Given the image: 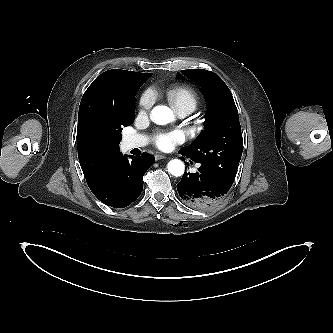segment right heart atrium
Instances as JSON below:
<instances>
[{
	"label": "right heart atrium",
	"mask_w": 333,
	"mask_h": 333,
	"mask_svg": "<svg viewBox=\"0 0 333 333\" xmlns=\"http://www.w3.org/2000/svg\"><path fill=\"white\" fill-rule=\"evenodd\" d=\"M154 103V95L151 91H146L140 98L139 108L141 113H146L150 110Z\"/></svg>",
	"instance_id": "1"
}]
</instances>
